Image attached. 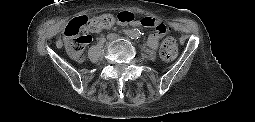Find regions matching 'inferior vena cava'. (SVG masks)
Here are the masks:
<instances>
[{"label":"inferior vena cava","mask_w":255,"mask_h":122,"mask_svg":"<svg viewBox=\"0 0 255 122\" xmlns=\"http://www.w3.org/2000/svg\"><path fill=\"white\" fill-rule=\"evenodd\" d=\"M117 37H118L117 34H109L108 35V39H110V40L116 39Z\"/></svg>","instance_id":"obj_1"}]
</instances>
